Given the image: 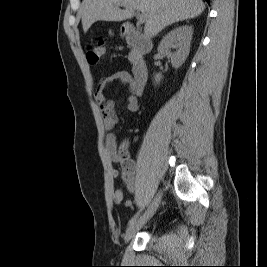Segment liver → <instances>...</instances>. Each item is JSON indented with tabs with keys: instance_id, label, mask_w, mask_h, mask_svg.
Here are the masks:
<instances>
[{
	"instance_id": "1",
	"label": "liver",
	"mask_w": 267,
	"mask_h": 267,
	"mask_svg": "<svg viewBox=\"0 0 267 267\" xmlns=\"http://www.w3.org/2000/svg\"><path fill=\"white\" fill-rule=\"evenodd\" d=\"M204 9L201 0H83L81 14L86 33L96 21L119 22L131 19L135 10L141 11L147 15L144 33L151 38L168 25L201 15Z\"/></svg>"
}]
</instances>
